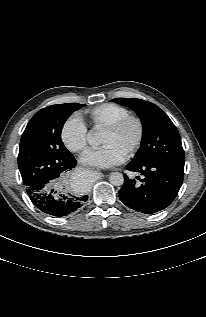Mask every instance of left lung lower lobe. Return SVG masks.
<instances>
[{
  "label": "left lung lower lobe",
  "mask_w": 206,
  "mask_h": 317,
  "mask_svg": "<svg viewBox=\"0 0 206 317\" xmlns=\"http://www.w3.org/2000/svg\"><path fill=\"white\" fill-rule=\"evenodd\" d=\"M126 169L140 176H136V182L125 175L119 198L127 207L145 214L169 206L178 194L184 175V168L159 162L129 163Z\"/></svg>",
  "instance_id": "0a47b994"
}]
</instances>
